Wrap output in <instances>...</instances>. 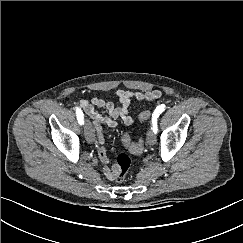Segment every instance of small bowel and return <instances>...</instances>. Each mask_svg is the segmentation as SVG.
Returning a JSON list of instances; mask_svg holds the SVG:
<instances>
[{
	"mask_svg": "<svg viewBox=\"0 0 243 243\" xmlns=\"http://www.w3.org/2000/svg\"><path fill=\"white\" fill-rule=\"evenodd\" d=\"M115 95L118 98V104H115L111 100L98 97L83 99L79 103L85 114L93 120L99 143L97 150L98 157L99 160L104 164L103 173L109 180H114L115 172L113 166H109L110 161L107 157L106 149L103 146L105 137L102 126L107 125L109 127H116L118 125V118H121L126 125L133 124L134 118L129 113V106L131 101L134 100L139 103L144 101H153L161 96V92L159 90L135 92L118 89L115 91ZM95 107L106 109L109 113V116L101 115L95 110Z\"/></svg>",
	"mask_w": 243,
	"mask_h": 243,
	"instance_id": "obj_1",
	"label": "small bowel"
}]
</instances>
